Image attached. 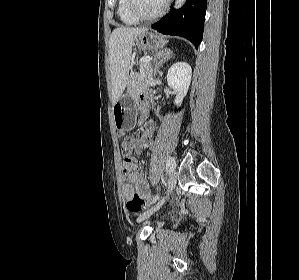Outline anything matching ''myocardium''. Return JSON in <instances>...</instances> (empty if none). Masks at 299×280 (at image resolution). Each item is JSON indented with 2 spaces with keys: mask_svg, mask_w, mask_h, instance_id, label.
Here are the masks:
<instances>
[{
  "mask_svg": "<svg viewBox=\"0 0 299 280\" xmlns=\"http://www.w3.org/2000/svg\"><path fill=\"white\" fill-rule=\"evenodd\" d=\"M170 0H165L162 8L155 14L146 16L140 13V11L137 8V0H128V10L130 14L138 21L141 22H149V21H154L160 17H162L166 10L168 9Z\"/></svg>",
  "mask_w": 299,
  "mask_h": 280,
  "instance_id": "1",
  "label": "myocardium"
}]
</instances>
